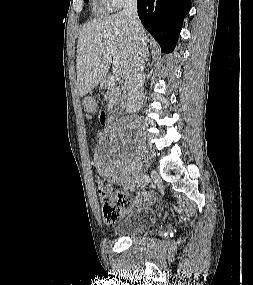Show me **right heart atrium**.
<instances>
[{
	"label": "right heart atrium",
	"instance_id": "right-heart-atrium-1",
	"mask_svg": "<svg viewBox=\"0 0 253 285\" xmlns=\"http://www.w3.org/2000/svg\"><path fill=\"white\" fill-rule=\"evenodd\" d=\"M132 1L133 0H103L105 6L110 10H118Z\"/></svg>",
	"mask_w": 253,
	"mask_h": 285
}]
</instances>
